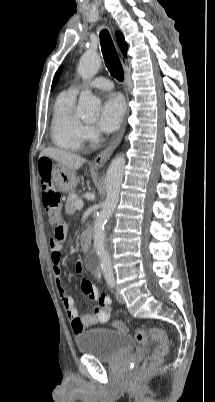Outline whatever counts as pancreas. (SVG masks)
I'll use <instances>...</instances> for the list:
<instances>
[{"label": "pancreas", "mask_w": 215, "mask_h": 402, "mask_svg": "<svg viewBox=\"0 0 215 402\" xmlns=\"http://www.w3.org/2000/svg\"><path fill=\"white\" fill-rule=\"evenodd\" d=\"M75 202H76V198H75V194L74 191H71L68 195L67 201H66V205H65V212L68 215H72L75 212Z\"/></svg>", "instance_id": "1"}]
</instances>
